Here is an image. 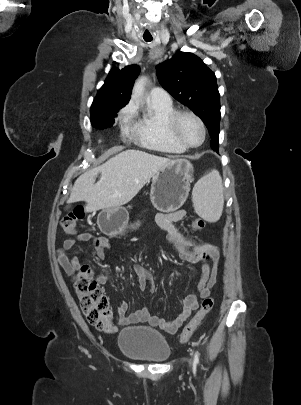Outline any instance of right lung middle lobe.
Returning <instances> with one entry per match:
<instances>
[{"mask_svg": "<svg viewBox=\"0 0 301 405\" xmlns=\"http://www.w3.org/2000/svg\"><path fill=\"white\" fill-rule=\"evenodd\" d=\"M116 110H107L103 108H92L91 107V123L94 127L99 129H104L106 127H111L114 123V119L117 116Z\"/></svg>", "mask_w": 301, "mask_h": 405, "instance_id": "obj_1", "label": "right lung middle lobe"}]
</instances>
